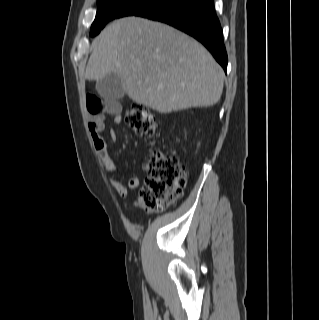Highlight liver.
<instances>
[{
  "label": "liver",
  "mask_w": 319,
  "mask_h": 320,
  "mask_svg": "<svg viewBox=\"0 0 319 320\" xmlns=\"http://www.w3.org/2000/svg\"><path fill=\"white\" fill-rule=\"evenodd\" d=\"M85 78H121L136 103L160 113L216 104L223 69L195 39L159 22L125 17L109 24L92 42Z\"/></svg>",
  "instance_id": "obj_1"
}]
</instances>
